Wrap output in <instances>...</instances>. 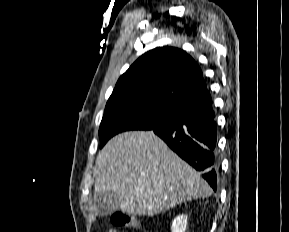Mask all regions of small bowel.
<instances>
[{
	"label": "small bowel",
	"mask_w": 289,
	"mask_h": 232,
	"mask_svg": "<svg viewBox=\"0 0 289 232\" xmlns=\"http://www.w3.org/2000/svg\"><path fill=\"white\" fill-rule=\"evenodd\" d=\"M108 232H119V231H117V230H115V229H111V230H109Z\"/></svg>",
	"instance_id": "c3829d8e"
}]
</instances>
